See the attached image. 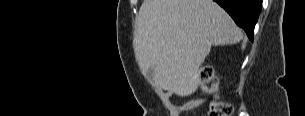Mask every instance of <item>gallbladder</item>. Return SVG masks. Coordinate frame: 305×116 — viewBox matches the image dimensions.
<instances>
[{"mask_svg": "<svg viewBox=\"0 0 305 116\" xmlns=\"http://www.w3.org/2000/svg\"><path fill=\"white\" fill-rule=\"evenodd\" d=\"M153 74H154V71L153 69H149L146 73V76L149 78V79H153Z\"/></svg>", "mask_w": 305, "mask_h": 116, "instance_id": "1", "label": "gallbladder"}]
</instances>
